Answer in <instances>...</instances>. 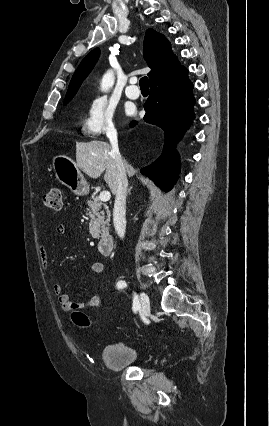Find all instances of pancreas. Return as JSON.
Here are the masks:
<instances>
[{
  "label": "pancreas",
  "mask_w": 269,
  "mask_h": 426,
  "mask_svg": "<svg viewBox=\"0 0 269 426\" xmlns=\"http://www.w3.org/2000/svg\"><path fill=\"white\" fill-rule=\"evenodd\" d=\"M88 204V215L91 218L89 223V232L94 238H99L101 234V228L109 226L110 222V210L105 203L99 200V197L92 196L87 201Z\"/></svg>",
  "instance_id": "cf45deb5"
}]
</instances>
